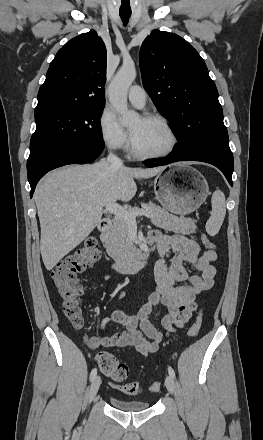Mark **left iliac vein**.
Instances as JSON below:
<instances>
[{
  "mask_svg": "<svg viewBox=\"0 0 263 440\" xmlns=\"http://www.w3.org/2000/svg\"><path fill=\"white\" fill-rule=\"evenodd\" d=\"M165 385H166L167 390L173 394L175 391V382H174V379L170 375L166 376Z\"/></svg>",
  "mask_w": 263,
  "mask_h": 440,
  "instance_id": "left-iliac-vein-1",
  "label": "left iliac vein"
}]
</instances>
